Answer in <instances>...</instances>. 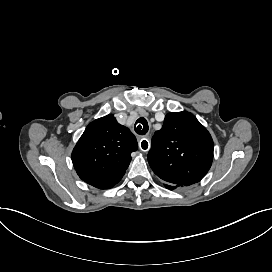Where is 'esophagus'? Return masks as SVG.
Instances as JSON below:
<instances>
[{"label":"esophagus","mask_w":272,"mask_h":272,"mask_svg":"<svg viewBox=\"0 0 272 272\" xmlns=\"http://www.w3.org/2000/svg\"><path fill=\"white\" fill-rule=\"evenodd\" d=\"M139 148L143 152H148L150 149V140L147 138H143L139 141Z\"/></svg>","instance_id":"obj_1"}]
</instances>
